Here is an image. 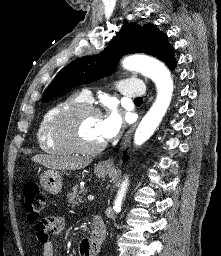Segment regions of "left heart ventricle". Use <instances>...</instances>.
Returning <instances> with one entry per match:
<instances>
[{"mask_svg": "<svg viewBox=\"0 0 221 256\" xmlns=\"http://www.w3.org/2000/svg\"><path fill=\"white\" fill-rule=\"evenodd\" d=\"M100 116L88 114L83 116L78 124L77 137L85 146H95L103 142L99 133Z\"/></svg>", "mask_w": 221, "mask_h": 256, "instance_id": "b2bd125f", "label": "left heart ventricle"}]
</instances>
